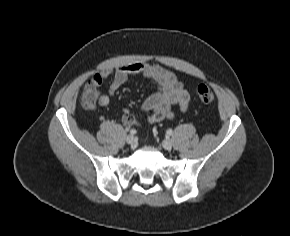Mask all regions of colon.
<instances>
[{
    "label": "colon",
    "instance_id": "5ec220e1",
    "mask_svg": "<svg viewBox=\"0 0 290 236\" xmlns=\"http://www.w3.org/2000/svg\"><path fill=\"white\" fill-rule=\"evenodd\" d=\"M197 96L199 101L204 104L212 103L215 99V95L212 89L206 85H200L197 88ZM81 100L86 108H95L96 104L98 103L97 86L92 82L87 83L83 88Z\"/></svg>",
    "mask_w": 290,
    "mask_h": 236
}]
</instances>
